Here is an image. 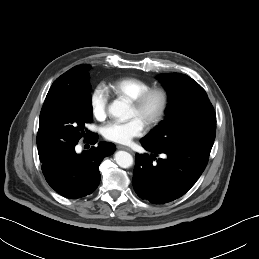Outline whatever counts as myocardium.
<instances>
[{"label":"myocardium","instance_id":"myocardium-1","mask_svg":"<svg viewBox=\"0 0 259 259\" xmlns=\"http://www.w3.org/2000/svg\"><path fill=\"white\" fill-rule=\"evenodd\" d=\"M152 95L159 96L160 104L155 115L146 122L148 128L155 127L164 119L170 103L169 92L160 86L150 87L131 100V105L140 109Z\"/></svg>","mask_w":259,"mask_h":259}]
</instances>
